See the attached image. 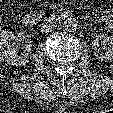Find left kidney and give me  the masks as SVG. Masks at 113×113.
I'll use <instances>...</instances> for the list:
<instances>
[{"instance_id": "obj_1", "label": "left kidney", "mask_w": 113, "mask_h": 113, "mask_svg": "<svg viewBox=\"0 0 113 113\" xmlns=\"http://www.w3.org/2000/svg\"><path fill=\"white\" fill-rule=\"evenodd\" d=\"M99 41L105 45V52L99 47ZM94 55L97 59L106 62L113 61V36L108 34H96L93 41Z\"/></svg>"}]
</instances>
